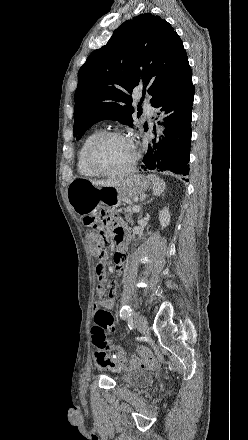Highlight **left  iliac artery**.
<instances>
[{
    "instance_id": "obj_1",
    "label": "left iliac artery",
    "mask_w": 248,
    "mask_h": 440,
    "mask_svg": "<svg viewBox=\"0 0 248 440\" xmlns=\"http://www.w3.org/2000/svg\"><path fill=\"white\" fill-rule=\"evenodd\" d=\"M120 316L123 319H127L129 321V323L132 325V309L130 306H128V305L123 306L120 310ZM130 328H131V326H130Z\"/></svg>"
}]
</instances>
